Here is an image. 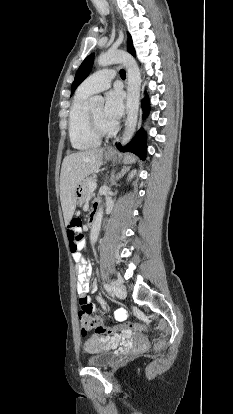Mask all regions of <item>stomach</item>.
I'll use <instances>...</instances> for the list:
<instances>
[{
  "mask_svg": "<svg viewBox=\"0 0 233 414\" xmlns=\"http://www.w3.org/2000/svg\"><path fill=\"white\" fill-rule=\"evenodd\" d=\"M105 159H106V160H113V159H114V155L109 154V153H106V154H105ZM124 161H125V162H132V161H133V159H132V157H131V156H127V157L125 158V160H124ZM75 195H76V198H77L80 202H83V201L86 199V188H85L84 182H82V183L78 186V188L76 189V193H75Z\"/></svg>",
  "mask_w": 233,
  "mask_h": 414,
  "instance_id": "0dacf381",
  "label": "stomach"
}]
</instances>
